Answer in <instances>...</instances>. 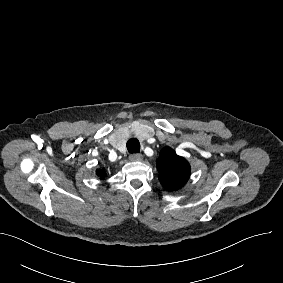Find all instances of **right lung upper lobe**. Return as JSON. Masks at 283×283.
<instances>
[{"label":"right lung upper lobe","mask_w":283,"mask_h":283,"mask_svg":"<svg viewBox=\"0 0 283 283\" xmlns=\"http://www.w3.org/2000/svg\"><path fill=\"white\" fill-rule=\"evenodd\" d=\"M96 173H97L98 176H100V178H103V177L105 176V174H106V172H105L104 169H103V170L98 169V170L96 171Z\"/></svg>","instance_id":"right-lung-upper-lobe-1"}]
</instances>
